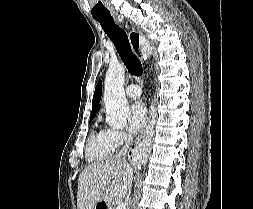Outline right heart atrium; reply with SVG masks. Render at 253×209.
Returning <instances> with one entry per match:
<instances>
[{"label":"right heart atrium","instance_id":"d8ad5b80","mask_svg":"<svg viewBox=\"0 0 253 209\" xmlns=\"http://www.w3.org/2000/svg\"><path fill=\"white\" fill-rule=\"evenodd\" d=\"M110 144L117 148L130 140V136L123 130L110 128L107 130Z\"/></svg>","mask_w":253,"mask_h":209}]
</instances>
